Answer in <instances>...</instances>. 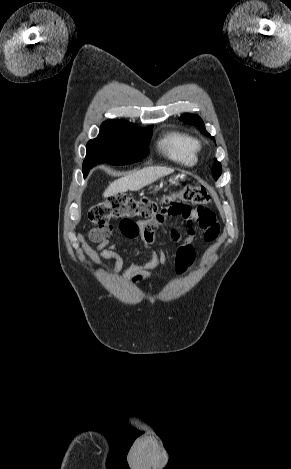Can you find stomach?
I'll return each mask as SVG.
<instances>
[{"label": "stomach", "mask_w": 291, "mask_h": 469, "mask_svg": "<svg viewBox=\"0 0 291 469\" xmlns=\"http://www.w3.org/2000/svg\"><path fill=\"white\" fill-rule=\"evenodd\" d=\"M183 180H184L183 176H176L174 179H172L171 183L174 185H179V182Z\"/></svg>", "instance_id": "stomach-1"}]
</instances>
